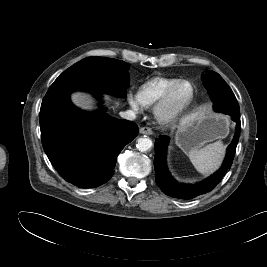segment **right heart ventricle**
Masks as SVG:
<instances>
[{
    "label": "right heart ventricle",
    "instance_id": "1",
    "mask_svg": "<svg viewBox=\"0 0 267 267\" xmlns=\"http://www.w3.org/2000/svg\"><path fill=\"white\" fill-rule=\"evenodd\" d=\"M178 81H180V79L155 77L140 86L138 90V97L143 105L151 106L155 104L165 94V92Z\"/></svg>",
    "mask_w": 267,
    "mask_h": 267
}]
</instances>
